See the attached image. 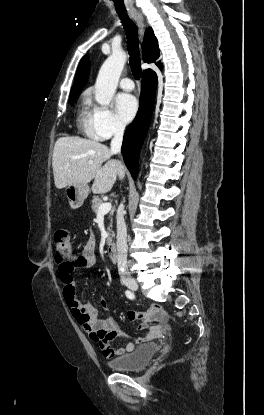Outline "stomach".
<instances>
[{
    "mask_svg": "<svg viewBox=\"0 0 264 415\" xmlns=\"http://www.w3.org/2000/svg\"><path fill=\"white\" fill-rule=\"evenodd\" d=\"M89 192L87 184H70L65 188V194L72 209L80 208Z\"/></svg>",
    "mask_w": 264,
    "mask_h": 415,
    "instance_id": "stomach-1",
    "label": "stomach"
}]
</instances>
